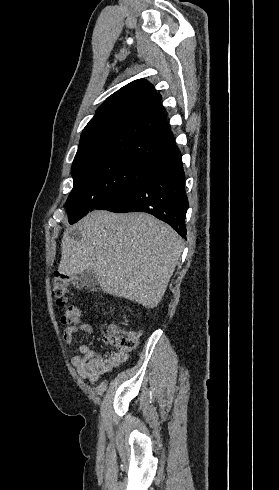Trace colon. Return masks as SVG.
I'll use <instances>...</instances> for the list:
<instances>
[{
	"mask_svg": "<svg viewBox=\"0 0 279 490\" xmlns=\"http://www.w3.org/2000/svg\"><path fill=\"white\" fill-rule=\"evenodd\" d=\"M71 284L81 285L74 276L60 272L54 276L50 286L53 297L61 302L63 306L60 320L66 325H72L81 321L83 316L82 310L71 304L67 297L68 287ZM138 336L139 333L136 331L124 332L122 329L116 327L103 330V337L108 338L111 348L117 350L119 354H125L133 350L137 345Z\"/></svg>",
	"mask_w": 279,
	"mask_h": 490,
	"instance_id": "1",
	"label": "colon"
}]
</instances>
